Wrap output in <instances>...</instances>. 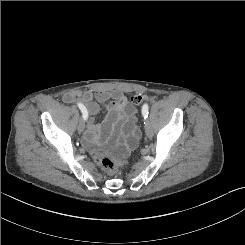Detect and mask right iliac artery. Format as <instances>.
Segmentation results:
<instances>
[{"label": "right iliac artery", "instance_id": "right-iliac-artery-1", "mask_svg": "<svg viewBox=\"0 0 245 245\" xmlns=\"http://www.w3.org/2000/svg\"><path fill=\"white\" fill-rule=\"evenodd\" d=\"M78 107H79V109H80L81 112H82V115H83L82 117H83V119L86 120L87 117H88V111H87L86 107H85L82 103H78Z\"/></svg>", "mask_w": 245, "mask_h": 245}]
</instances>
